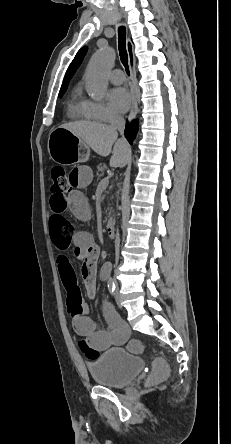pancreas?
<instances>
[{"mask_svg":"<svg viewBox=\"0 0 231 444\" xmlns=\"http://www.w3.org/2000/svg\"><path fill=\"white\" fill-rule=\"evenodd\" d=\"M106 165L105 164H101L97 167V176L100 179L102 176H104V172L106 169Z\"/></svg>","mask_w":231,"mask_h":444,"instance_id":"cf45deb5","label":"pancreas"}]
</instances>
